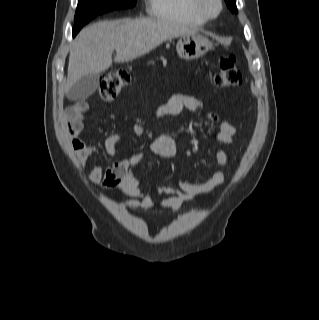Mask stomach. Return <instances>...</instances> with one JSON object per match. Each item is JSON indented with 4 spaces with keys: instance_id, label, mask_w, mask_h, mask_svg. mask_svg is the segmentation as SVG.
<instances>
[{
    "instance_id": "1",
    "label": "stomach",
    "mask_w": 319,
    "mask_h": 320,
    "mask_svg": "<svg viewBox=\"0 0 319 320\" xmlns=\"http://www.w3.org/2000/svg\"><path fill=\"white\" fill-rule=\"evenodd\" d=\"M212 48V42L199 34L181 36L176 50L180 58L185 60L197 59L205 55Z\"/></svg>"
}]
</instances>
